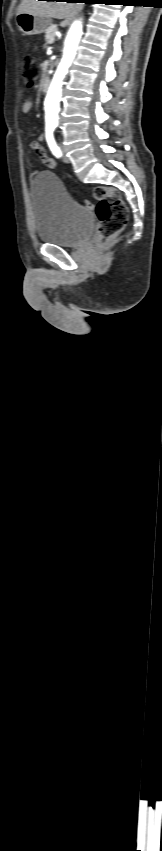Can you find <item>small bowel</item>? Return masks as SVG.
<instances>
[{"label": "small bowel", "instance_id": "obj_1", "mask_svg": "<svg viewBox=\"0 0 162 851\" xmlns=\"http://www.w3.org/2000/svg\"><path fill=\"white\" fill-rule=\"evenodd\" d=\"M33 105H34V102H33V100H32L31 98H27V99H25V100L23 101V103H22V106H21V110H22V112H23L24 114L29 113V112H30V110L32 109ZM43 140H44V135H42V134H41V135L38 137V141H36V142H32V143H31V148H32V150L36 153V155L40 158V160H41V161H42V162H43V163H44V164H45L48 168H54V167H55V165H56V162H55V160H54V159H52V158H50V157H48V156H47V153H46V151H45L44 147L41 145V142H42Z\"/></svg>", "mask_w": 162, "mask_h": 851}]
</instances>
